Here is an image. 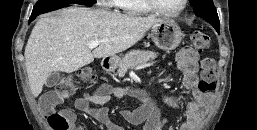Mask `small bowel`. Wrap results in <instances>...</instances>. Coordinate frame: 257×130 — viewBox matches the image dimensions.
Returning <instances> with one entry per match:
<instances>
[{
	"label": "small bowel",
	"mask_w": 257,
	"mask_h": 130,
	"mask_svg": "<svg viewBox=\"0 0 257 130\" xmlns=\"http://www.w3.org/2000/svg\"><path fill=\"white\" fill-rule=\"evenodd\" d=\"M177 66L182 72L183 87L191 93V100L186 104L184 110V120L177 130H194L202 118L205 109L210 102L211 95L203 93L198 88V53L190 47L181 49L177 54ZM125 96H134L142 100V104L135 109H123L121 116L132 125L145 123L144 130H162L168 125L167 130H176L165 117H162L160 109L151 101L147 94L140 89L129 87H112L103 84L94 92H85L75 101L78 110L89 115L97 122L102 124L106 130H124L120 125L115 123L109 111L104 105L111 99H121ZM67 95L56 92H48L40 99V105L44 110L53 111ZM163 102L171 107L177 108L180 101L177 97L164 96ZM96 104L99 107H91L90 104ZM70 121V130H84L76 121L75 114L70 110H61Z\"/></svg>",
	"instance_id": "obj_1"
}]
</instances>
